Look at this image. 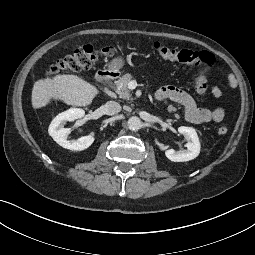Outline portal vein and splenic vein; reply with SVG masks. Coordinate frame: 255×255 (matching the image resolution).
Listing matches in <instances>:
<instances>
[{"instance_id":"obj_1","label":"portal vein and splenic vein","mask_w":255,"mask_h":255,"mask_svg":"<svg viewBox=\"0 0 255 255\" xmlns=\"http://www.w3.org/2000/svg\"><path fill=\"white\" fill-rule=\"evenodd\" d=\"M135 85H136L135 81H130L129 84H128V88L134 89Z\"/></svg>"}]
</instances>
